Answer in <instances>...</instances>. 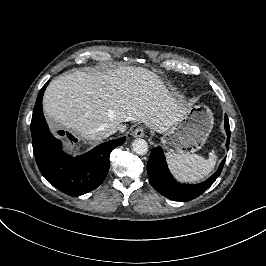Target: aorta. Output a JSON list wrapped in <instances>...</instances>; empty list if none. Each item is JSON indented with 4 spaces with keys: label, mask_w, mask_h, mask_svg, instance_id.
I'll list each match as a JSON object with an SVG mask.
<instances>
[{
    "label": "aorta",
    "mask_w": 266,
    "mask_h": 266,
    "mask_svg": "<svg viewBox=\"0 0 266 266\" xmlns=\"http://www.w3.org/2000/svg\"><path fill=\"white\" fill-rule=\"evenodd\" d=\"M132 150L136 154L144 156L148 152V143L143 139H136L132 142Z\"/></svg>",
    "instance_id": "762f6f07"
}]
</instances>
